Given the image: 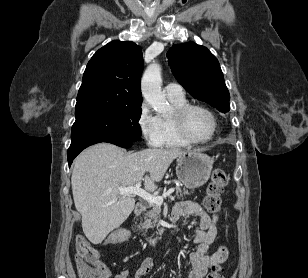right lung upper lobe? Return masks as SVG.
Returning a JSON list of instances; mask_svg holds the SVG:
<instances>
[{
  "instance_id": "obj_1",
  "label": "right lung upper lobe",
  "mask_w": 308,
  "mask_h": 278,
  "mask_svg": "<svg viewBox=\"0 0 308 278\" xmlns=\"http://www.w3.org/2000/svg\"><path fill=\"white\" fill-rule=\"evenodd\" d=\"M141 48L131 41L114 40L91 58L77 95L75 115L140 106Z\"/></svg>"
}]
</instances>
